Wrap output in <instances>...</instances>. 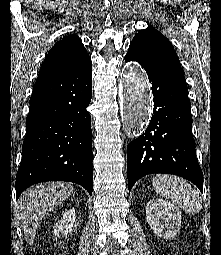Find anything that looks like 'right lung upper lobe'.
Masks as SVG:
<instances>
[{
    "label": "right lung upper lobe",
    "instance_id": "right-lung-upper-lobe-1",
    "mask_svg": "<svg viewBox=\"0 0 221 255\" xmlns=\"http://www.w3.org/2000/svg\"><path fill=\"white\" fill-rule=\"evenodd\" d=\"M87 58H89V55L82 40L77 35H68L50 49L36 81L64 73Z\"/></svg>",
    "mask_w": 221,
    "mask_h": 255
}]
</instances>
